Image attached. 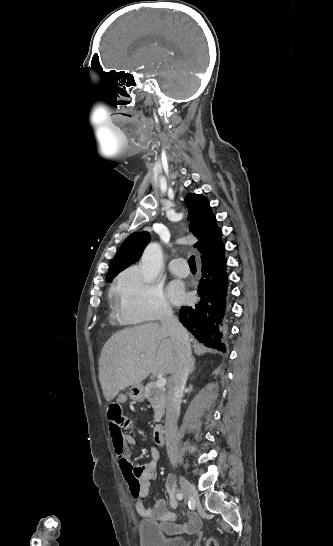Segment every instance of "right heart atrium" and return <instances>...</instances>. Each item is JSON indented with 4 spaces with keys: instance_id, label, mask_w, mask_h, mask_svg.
Wrapping results in <instances>:
<instances>
[{
    "instance_id": "obj_1",
    "label": "right heart atrium",
    "mask_w": 333,
    "mask_h": 546,
    "mask_svg": "<svg viewBox=\"0 0 333 546\" xmlns=\"http://www.w3.org/2000/svg\"><path fill=\"white\" fill-rule=\"evenodd\" d=\"M116 291L118 316L124 323L160 321L172 314L162 287L148 283L138 268H130L119 276Z\"/></svg>"
}]
</instances>
